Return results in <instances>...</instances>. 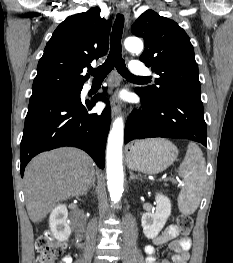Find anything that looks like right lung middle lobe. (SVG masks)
Listing matches in <instances>:
<instances>
[{
	"label": "right lung middle lobe",
	"mask_w": 233,
	"mask_h": 263,
	"mask_svg": "<svg viewBox=\"0 0 233 263\" xmlns=\"http://www.w3.org/2000/svg\"><path fill=\"white\" fill-rule=\"evenodd\" d=\"M82 87H78V88H73V89H69V90H64V91H60V92H55V93H50V94H45V95H40V96H36V97H31L30 100L36 99V98H40V97H46V96H51L57 93H62V92H78L81 90Z\"/></svg>",
	"instance_id": "right-lung-middle-lobe-1"
}]
</instances>
